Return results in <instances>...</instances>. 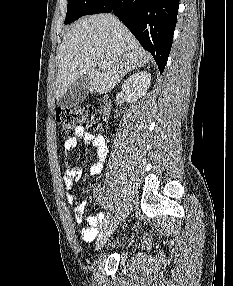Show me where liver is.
<instances>
[{
    "mask_svg": "<svg viewBox=\"0 0 233 286\" xmlns=\"http://www.w3.org/2000/svg\"><path fill=\"white\" fill-rule=\"evenodd\" d=\"M57 57V100L84 75L89 81L88 93L104 94L150 60V54L112 14L85 16L75 22L64 35ZM99 62L105 65L98 70Z\"/></svg>",
    "mask_w": 233,
    "mask_h": 286,
    "instance_id": "6515ba94",
    "label": "liver"
}]
</instances>
